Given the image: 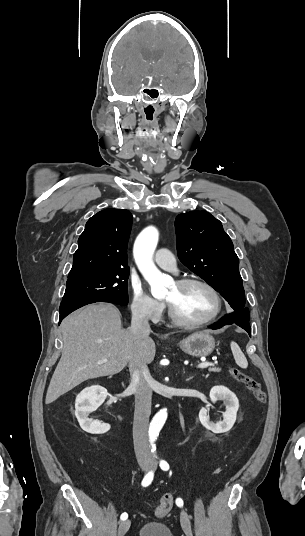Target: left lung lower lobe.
Listing matches in <instances>:
<instances>
[{
	"instance_id": "0a47b994",
	"label": "left lung lower lobe",
	"mask_w": 305,
	"mask_h": 536,
	"mask_svg": "<svg viewBox=\"0 0 305 536\" xmlns=\"http://www.w3.org/2000/svg\"><path fill=\"white\" fill-rule=\"evenodd\" d=\"M233 323L246 330L251 336V327L249 324V310L247 308L235 310V312L226 315L219 323L211 325V328L219 329L224 325H230Z\"/></svg>"
}]
</instances>
